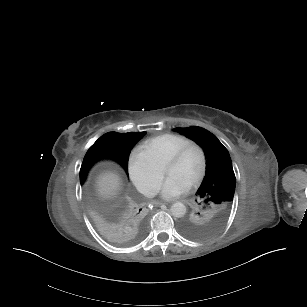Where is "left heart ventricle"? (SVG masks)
I'll return each mask as SVG.
<instances>
[{"mask_svg":"<svg viewBox=\"0 0 307 307\" xmlns=\"http://www.w3.org/2000/svg\"><path fill=\"white\" fill-rule=\"evenodd\" d=\"M202 163V152L198 146H195L189 149L180 161L164 163L162 165V171L166 176L175 175L189 184V182L200 172Z\"/></svg>","mask_w":307,"mask_h":307,"instance_id":"obj_1","label":"left heart ventricle"}]
</instances>
